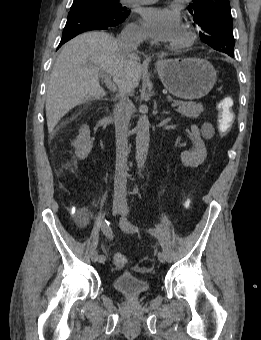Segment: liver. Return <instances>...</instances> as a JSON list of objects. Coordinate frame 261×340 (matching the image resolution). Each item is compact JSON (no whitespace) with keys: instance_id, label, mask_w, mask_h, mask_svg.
I'll return each instance as SVG.
<instances>
[{"instance_id":"1","label":"liver","mask_w":261,"mask_h":340,"mask_svg":"<svg viewBox=\"0 0 261 340\" xmlns=\"http://www.w3.org/2000/svg\"><path fill=\"white\" fill-rule=\"evenodd\" d=\"M140 57L123 52L117 40L105 32H87L69 41L52 69L46 95L49 133L72 108L106 92L99 84V71L110 74L118 88L133 91L140 82Z\"/></svg>"}]
</instances>
